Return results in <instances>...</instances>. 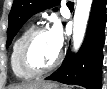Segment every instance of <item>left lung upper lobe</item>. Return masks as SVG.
Segmentation results:
<instances>
[{
    "label": "left lung upper lobe",
    "mask_w": 107,
    "mask_h": 89,
    "mask_svg": "<svg viewBox=\"0 0 107 89\" xmlns=\"http://www.w3.org/2000/svg\"><path fill=\"white\" fill-rule=\"evenodd\" d=\"M58 3L59 0H14L9 14L6 47L11 44L14 36L33 14L53 7Z\"/></svg>",
    "instance_id": "5c2ea615"
}]
</instances>
